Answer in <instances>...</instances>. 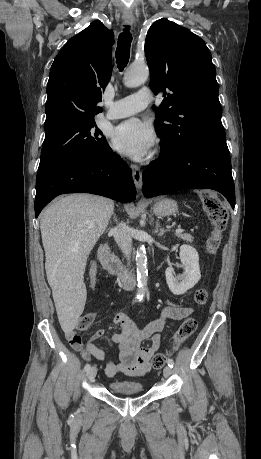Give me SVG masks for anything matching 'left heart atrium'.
<instances>
[{"label": "left heart atrium", "instance_id": "left-heart-atrium-1", "mask_svg": "<svg viewBox=\"0 0 261 459\" xmlns=\"http://www.w3.org/2000/svg\"><path fill=\"white\" fill-rule=\"evenodd\" d=\"M113 147L134 159L145 158L155 143L151 125L137 118L128 119L116 126L111 136Z\"/></svg>", "mask_w": 261, "mask_h": 459}]
</instances>
